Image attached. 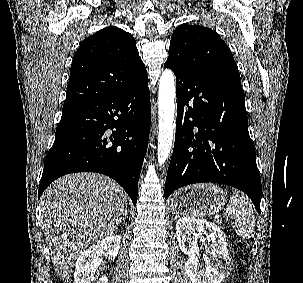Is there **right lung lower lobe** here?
Wrapping results in <instances>:
<instances>
[{
  "label": "right lung lower lobe",
  "mask_w": 303,
  "mask_h": 283,
  "mask_svg": "<svg viewBox=\"0 0 303 283\" xmlns=\"http://www.w3.org/2000/svg\"><path fill=\"white\" fill-rule=\"evenodd\" d=\"M151 122L148 79L123 93L62 112L39 185V197L69 173L98 172L137 202L138 180Z\"/></svg>",
  "instance_id": "obj_1"
}]
</instances>
